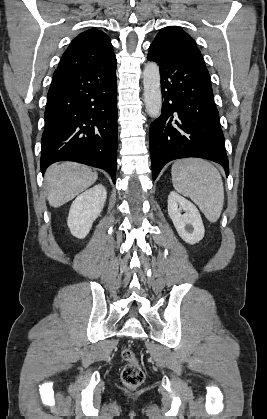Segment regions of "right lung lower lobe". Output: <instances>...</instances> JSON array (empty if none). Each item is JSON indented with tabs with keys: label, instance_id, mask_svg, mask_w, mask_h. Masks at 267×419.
<instances>
[{
	"label": "right lung lower lobe",
	"instance_id": "obj_1",
	"mask_svg": "<svg viewBox=\"0 0 267 419\" xmlns=\"http://www.w3.org/2000/svg\"><path fill=\"white\" fill-rule=\"evenodd\" d=\"M116 61L92 69L57 68L47 95L41 171L71 160L107 171L115 183Z\"/></svg>",
	"mask_w": 267,
	"mask_h": 419
}]
</instances>
